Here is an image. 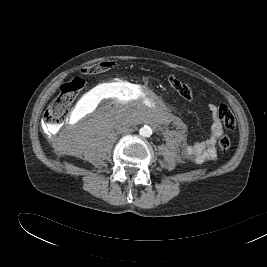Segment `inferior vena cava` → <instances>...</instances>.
Listing matches in <instances>:
<instances>
[{
  "instance_id": "602c4592",
  "label": "inferior vena cava",
  "mask_w": 267,
  "mask_h": 267,
  "mask_svg": "<svg viewBox=\"0 0 267 267\" xmlns=\"http://www.w3.org/2000/svg\"><path fill=\"white\" fill-rule=\"evenodd\" d=\"M131 130H132V129H130V128H121V129H120V132H121V133H123V132H124V133H129Z\"/></svg>"
}]
</instances>
